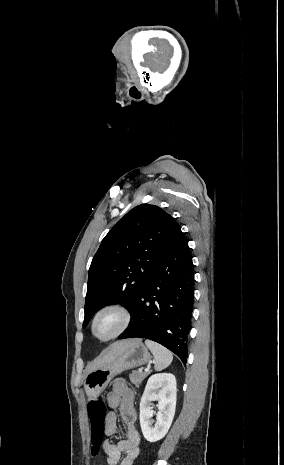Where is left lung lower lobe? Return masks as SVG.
I'll use <instances>...</instances> for the list:
<instances>
[{
  "label": "left lung lower lobe",
  "mask_w": 284,
  "mask_h": 465,
  "mask_svg": "<svg viewBox=\"0 0 284 465\" xmlns=\"http://www.w3.org/2000/svg\"><path fill=\"white\" fill-rule=\"evenodd\" d=\"M192 256L182 231L141 287L131 322L119 336L146 338L174 352L185 364L194 298Z\"/></svg>",
  "instance_id": "0a47b994"
}]
</instances>
